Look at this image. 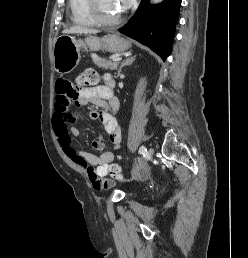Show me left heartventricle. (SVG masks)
I'll return each instance as SVG.
<instances>
[{
	"label": "left heart ventricle",
	"instance_id": "obj_1",
	"mask_svg": "<svg viewBox=\"0 0 248 258\" xmlns=\"http://www.w3.org/2000/svg\"><path fill=\"white\" fill-rule=\"evenodd\" d=\"M99 12L104 18H117L120 16L116 0H99Z\"/></svg>",
	"mask_w": 248,
	"mask_h": 258
}]
</instances>
